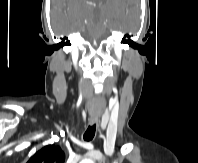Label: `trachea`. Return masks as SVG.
Returning <instances> with one entry per match:
<instances>
[{
    "instance_id": "3493384b",
    "label": "trachea",
    "mask_w": 198,
    "mask_h": 163,
    "mask_svg": "<svg viewBox=\"0 0 198 163\" xmlns=\"http://www.w3.org/2000/svg\"><path fill=\"white\" fill-rule=\"evenodd\" d=\"M95 131H96V124L89 126L86 132L84 133V136H83L84 140L91 141L95 136Z\"/></svg>"
}]
</instances>
